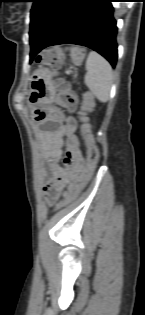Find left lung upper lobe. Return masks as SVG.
Masks as SVG:
<instances>
[{"label": "left lung upper lobe", "mask_w": 145, "mask_h": 315, "mask_svg": "<svg viewBox=\"0 0 145 315\" xmlns=\"http://www.w3.org/2000/svg\"><path fill=\"white\" fill-rule=\"evenodd\" d=\"M73 0H33L30 39L41 41Z\"/></svg>", "instance_id": "5c2ea615"}]
</instances>
